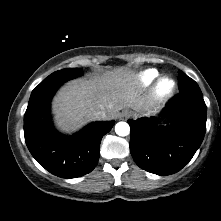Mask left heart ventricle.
<instances>
[{"mask_svg": "<svg viewBox=\"0 0 221 221\" xmlns=\"http://www.w3.org/2000/svg\"><path fill=\"white\" fill-rule=\"evenodd\" d=\"M169 87V83L168 82H165L164 84H163V88H168Z\"/></svg>", "mask_w": 221, "mask_h": 221, "instance_id": "obj_1", "label": "left heart ventricle"}]
</instances>
